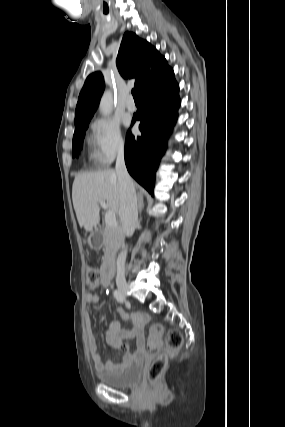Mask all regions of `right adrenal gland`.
<instances>
[{
    "instance_id": "1",
    "label": "right adrenal gland",
    "mask_w": 285,
    "mask_h": 427,
    "mask_svg": "<svg viewBox=\"0 0 285 427\" xmlns=\"http://www.w3.org/2000/svg\"><path fill=\"white\" fill-rule=\"evenodd\" d=\"M143 207H144V198L140 194V195H138V210L140 213H141Z\"/></svg>"
}]
</instances>
